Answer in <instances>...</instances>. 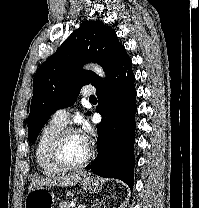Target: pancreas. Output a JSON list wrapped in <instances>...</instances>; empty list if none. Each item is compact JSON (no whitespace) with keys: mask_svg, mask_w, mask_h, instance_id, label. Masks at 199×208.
Returning a JSON list of instances; mask_svg holds the SVG:
<instances>
[{"mask_svg":"<svg viewBox=\"0 0 199 208\" xmlns=\"http://www.w3.org/2000/svg\"><path fill=\"white\" fill-rule=\"evenodd\" d=\"M73 201H63L60 203L59 208H73Z\"/></svg>","mask_w":199,"mask_h":208,"instance_id":"cf45deb5","label":"pancreas"}]
</instances>
